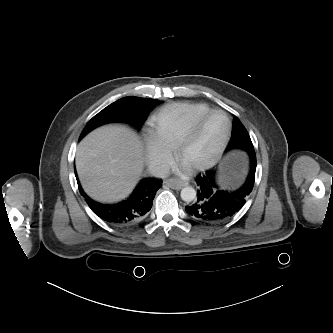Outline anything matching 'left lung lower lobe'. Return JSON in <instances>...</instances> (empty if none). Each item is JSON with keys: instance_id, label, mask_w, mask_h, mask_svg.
<instances>
[{"instance_id": "obj_1", "label": "left lung lower lobe", "mask_w": 333, "mask_h": 333, "mask_svg": "<svg viewBox=\"0 0 333 333\" xmlns=\"http://www.w3.org/2000/svg\"><path fill=\"white\" fill-rule=\"evenodd\" d=\"M250 174L245 184L235 190L226 191L216 184V170L199 174L195 179L198 185L197 201L186 206V212L201 222L216 223L232 217L246 202L255 181L256 155L249 153Z\"/></svg>"}]
</instances>
